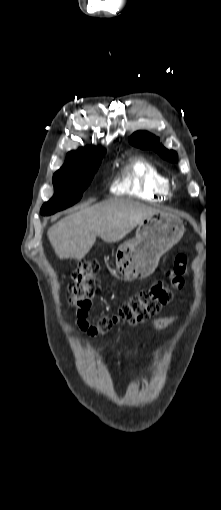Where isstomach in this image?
Masks as SVG:
<instances>
[{"mask_svg":"<svg viewBox=\"0 0 221 510\" xmlns=\"http://www.w3.org/2000/svg\"><path fill=\"white\" fill-rule=\"evenodd\" d=\"M182 220L175 214L160 211L139 224L134 239L117 249L116 266L128 281L142 280L153 273L160 257L180 241L184 234Z\"/></svg>","mask_w":221,"mask_h":510,"instance_id":"1","label":"stomach"}]
</instances>
